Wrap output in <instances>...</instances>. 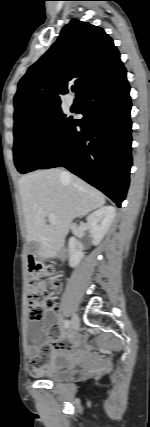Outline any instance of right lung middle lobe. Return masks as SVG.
<instances>
[{
  "instance_id": "right-lung-middle-lobe-1",
  "label": "right lung middle lobe",
  "mask_w": 150,
  "mask_h": 427,
  "mask_svg": "<svg viewBox=\"0 0 150 427\" xmlns=\"http://www.w3.org/2000/svg\"><path fill=\"white\" fill-rule=\"evenodd\" d=\"M70 120L56 106L15 122L13 151L20 173L34 171L45 161Z\"/></svg>"
}]
</instances>
